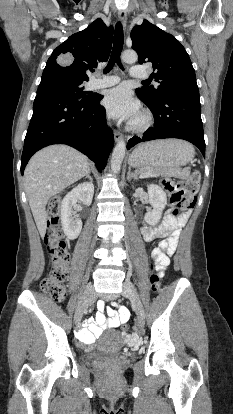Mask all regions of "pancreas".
<instances>
[{"instance_id":"pancreas-1","label":"pancreas","mask_w":233,"mask_h":414,"mask_svg":"<svg viewBox=\"0 0 233 414\" xmlns=\"http://www.w3.org/2000/svg\"><path fill=\"white\" fill-rule=\"evenodd\" d=\"M137 175H145V177H158V176H174V177H188L189 176V171H178V170H171V171H167V172H163V171H158V170H153L151 168H140L137 170Z\"/></svg>"}]
</instances>
